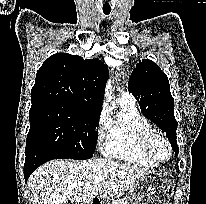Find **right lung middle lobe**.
<instances>
[{
    "label": "right lung middle lobe",
    "mask_w": 206,
    "mask_h": 204,
    "mask_svg": "<svg viewBox=\"0 0 206 204\" xmlns=\"http://www.w3.org/2000/svg\"><path fill=\"white\" fill-rule=\"evenodd\" d=\"M101 110L60 102L32 103L26 154L47 150L57 158L76 160L93 156Z\"/></svg>",
    "instance_id": "dd1d6c3e"
}]
</instances>
